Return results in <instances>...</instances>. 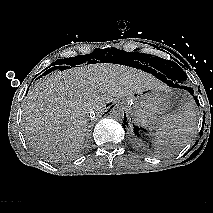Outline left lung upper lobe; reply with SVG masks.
Listing matches in <instances>:
<instances>
[{"instance_id": "obj_1", "label": "left lung upper lobe", "mask_w": 213, "mask_h": 213, "mask_svg": "<svg viewBox=\"0 0 213 213\" xmlns=\"http://www.w3.org/2000/svg\"><path fill=\"white\" fill-rule=\"evenodd\" d=\"M155 60V67L162 71L163 73L169 75L170 79L178 84H183L187 80V75L183 69L173 61L165 60L159 57H153Z\"/></svg>"}]
</instances>
